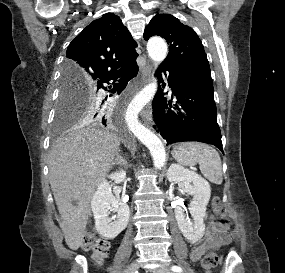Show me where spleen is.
<instances>
[{
	"mask_svg": "<svg viewBox=\"0 0 285 273\" xmlns=\"http://www.w3.org/2000/svg\"><path fill=\"white\" fill-rule=\"evenodd\" d=\"M172 155L184 166L199 164L207 180L218 185L222 183L221 158L212 147L198 142H183L174 147Z\"/></svg>",
	"mask_w": 285,
	"mask_h": 273,
	"instance_id": "obj_1",
	"label": "spleen"
}]
</instances>
